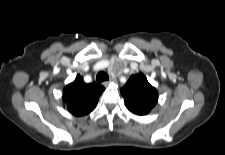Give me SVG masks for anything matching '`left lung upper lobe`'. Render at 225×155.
I'll list each match as a JSON object with an SVG mask.
<instances>
[{
    "mask_svg": "<svg viewBox=\"0 0 225 155\" xmlns=\"http://www.w3.org/2000/svg\"><path fill=\"white\" fill-rule=\"evenodd\" d=\"M126 107L136 115H146L158 102V92L142 74L132 75L121 89Z\"/></svg>",
    "mask_w": 225,
    "mask_h": 155,
    "instance_id": "1",
    "label": "left lung upper lobe"
}]
</instances>
